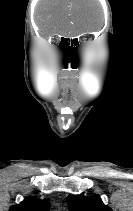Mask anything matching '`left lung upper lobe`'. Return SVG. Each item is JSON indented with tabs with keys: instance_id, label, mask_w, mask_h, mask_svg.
<instances>
[{
	"instance_id": "left-lung-upper-lobe-1",
	"label": "left lung upper lobe",
	"mask_w": 133,
	"mask_h": 211,
	"mask_svg": "<svg viewBox=\"0 0 133 211\" xmlns=\"http://www.w3.org/2000/svg\"><path fill=\"white\" fill-rule=\"evenodd\" d=\"M71 211H112L109 206L103 204L100 196L83 197L70 195L67 198Z\"/></svg>"
}]
</instances>
